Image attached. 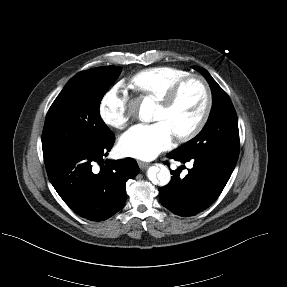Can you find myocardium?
I'll return each instance as SVG.
<instances>
[{"label": "myocardium", "instance_id": "myocardium-1", "mask_svg": "<svg viewBox=\"0 0 287 287\" xmlns=\"http://www.w3.org/2000/svg\"><path fill=\"white\" fill-rule=\"evenodd\" d=\"M191 81H198L201 84L205 92V107L201 117L191 129L182 134L175 135L176 140L179 142H186L193 139L202 131L208 122L213 107V94L208 82L201 75L190 74L175 83L166 95L158 101L160 107L164 110H170L176 104L183 88Z\"/></svg>", "mask_w": 287, "mask_h": 287}]
</instances>
